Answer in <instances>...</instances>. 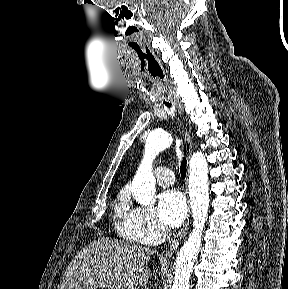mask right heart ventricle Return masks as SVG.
<instances>
[{"instance_id": "obj_1", "label": "right heart ventricle", "mask_w": 288, "mask_h": 289, "mask_svg": "<svg viewBox=\"0 0 288 289\" xmlns=\"http://www.w3.org/2000/svg\"><path fill=\"white\" fill-rule=\"evenodd\" d=\"M128 205V196L125 192H121L118 196L117 203H116V213L119 217L124 218ZM119 230H122V227L118 224L117 225Z\"/></svg>"}]
</instances>
